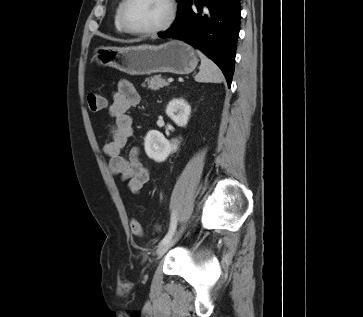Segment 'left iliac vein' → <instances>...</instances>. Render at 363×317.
<instances>
[{"label":"left iliac vein","mask_w":363,"mask_h":317,"mask_svg":"<svg viewBox=\"0 0 363 317\" xmlns=\"http://www.w3.org/2000/svg\"><path fill=\"white\" fill-rule=\"evenodd\" d=\"M181 234L182 230H180L178 234L174 238H171L168 242L160 244L157 248V255L159 257L163 256L179 240Z\"/></svg>","instance_id":"left-iliac-vein-1"}]
</instances>
